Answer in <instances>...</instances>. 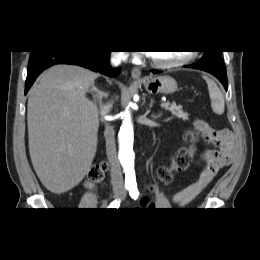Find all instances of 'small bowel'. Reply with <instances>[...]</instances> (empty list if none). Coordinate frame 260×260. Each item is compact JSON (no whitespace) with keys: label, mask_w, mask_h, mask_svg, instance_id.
<instances>
[{"label":"small bowel","mask_w":260,"mask_h":260,"mask_svg":"<svg viewBox=\"0 0 260 260\" xmlns=\"http://www.w3.org/2000/svg\"><path fill=\"white\" fill-rule=\"evenodd\" d=\"M194 126L204 139L216 148L205 150L199 155L197 161L200 168L199 179L173 196L172 202L178 207H185L191 203L214 179L218 171L232 162L236 154V139L231 130L213 128L199 119L195 120Z\"/></svg>","instance_id":"1"}]
</instances>
